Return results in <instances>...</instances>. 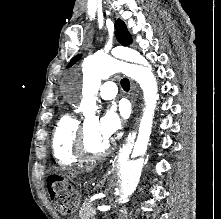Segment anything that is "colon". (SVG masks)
Here are the masks:
<instances>
[{
    "mask_svg": "<svg viewBox=\"0 0 221 219\" xmlns=\"http://www.w3.org/2000/svg\"><path fill=\"white\" fill-rule=\"evenodd\" d=\"M64 186H65V183H63L62 181H53V182H51L50 183V192H51V194L62 195L63 190H64ZM74 197H75L74 193H71L66 199L67 206L70 207V210H69L70 213L73 211V207H74V204H75Z\"/></svg>",
    "mask_w": 221,
    "mask_h": 219,
    "instance_id": "5ec220e1",
    "label": "colon"
}]
</instances>
